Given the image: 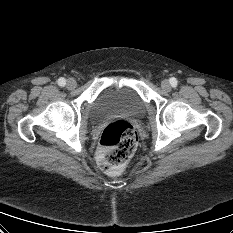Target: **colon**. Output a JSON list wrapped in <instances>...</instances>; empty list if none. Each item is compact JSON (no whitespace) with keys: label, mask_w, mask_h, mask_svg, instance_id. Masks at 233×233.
<instances>
[{"label":"colon","mask_w":233,"mask_h":233,"mask_svg":"<svg viewBox=\"0 0 233 233\" xmlns=\"http://www.w3.org/2000/svg\"><path fill=\"white\" fill-rule=\"evenodd\" d=\"M99 144V167L106 172H116L134 154L138 144V136L129 122L117 120L105 127Z\"/></svg>","instance_id":"colon-1"}]
</instances>
